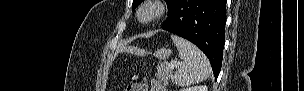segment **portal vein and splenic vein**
<instances>
[{"mask_svg": "<svg viewBox=\"0 0 304 91\" xmlns=\"http://www.w3.org/2000/svg\"><path fill=\"white\" fill-rule=\"evenodd\" d=\"M168 67L171 68V69H173V68L176 67V64H174V63H169V64H168Z\"/></svg>", "mask_w": 304, "mask_h": 91, "instance_id": "1", "label": "portal vein and splenic vein"}]
</instances>
